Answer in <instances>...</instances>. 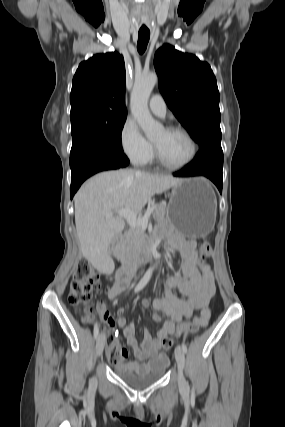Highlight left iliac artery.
Returning <instances> with one entry per match:
<instances>
[{
	"label": "left iliac artery",
	"instance_id": "1",
	"mask_svg": "<svg viewBox=\"0 0 285 427\" xmlns=\"http://www.w3.org/2000/svg\"><path fill=\"white\" fill-rule=\"evenodd\" d=\"M182 349H183L184 353H187V346L185 345L184 341L182 343Z\"/></svg>",
	"mask_w": 285,
	"mask_h": 427
}]
</instances>
